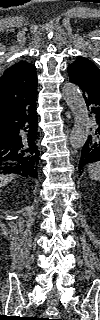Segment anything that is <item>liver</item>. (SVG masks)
I'll return each instance as SVG.
<instances>
[{
    "mask_svg": "<svg viewBox=\"0 0 100 320\" xmlns=\"http://www.w3.org/2000/svg\"><path fill=\"white\" fill-rule=\"evenodd\" d=\"M14 175L10 174V175H1L0 176V186L3 187L5 186L7 183L11 182L14 179Z\"/></svg>",
    "mask_w": 100,
    "mask_h": 320,
    "instance_id": "obj_1",
    "label": "liver"
}]
</instances>
